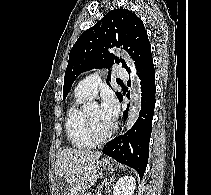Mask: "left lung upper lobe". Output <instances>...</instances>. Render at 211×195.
Returning a JSON list of instances; mask_svg holds the SVG:
<instances>
[{
    "label": "left lung upper lobe",
    "mask_w": 211,
    "mask_h": 195,
    "mask_svg": "<svg viewBox=\"0 0 211 195\" xmlns=\"http://www.w3.org/2000/svg\"><path fill=\"white\" fill-rule=\"evenodd\" d=\"M112 46H122L135 61L137 71L152 58L151 46L143 22L130 10L109 11L92 28L86 30L76 41L69 54L65 71L63 99L75 79L93 68H109L121 63L130 73L125 61L108 52ZM109 72L107 81H110ZM120 99L121 94L116 93Z\"/></svg>",
    "instance_id": "5c2ea615"
}]
</instances>
